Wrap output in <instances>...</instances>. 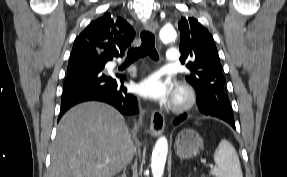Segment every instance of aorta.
I'll return each mask as SVG.
<instances>
[{
  "label": "aorta",
  "mask_w": 287,
  "mask_h": 177,
  "mask_svg": "<svg viewBox=\"0 0 287 177\" xmlns=\"http://www.w3.org/2000/svg\"><path fill=\"white\" fill-rule=\"evenodd\" d=\"M163 42H171L176 39V31L172 27H164L159 33ZM168 153V141L165 136L160 137L154 146L151 157V171L153 177H162Z\"/></svg>",
  "instance_id": "aorta-1"
}]
</instances>
